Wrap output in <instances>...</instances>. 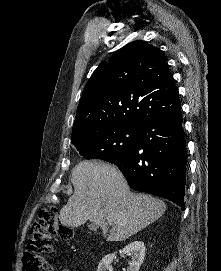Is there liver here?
Returning a JSON list of instances; mask_svg holds the SVG:
<instances>
[{
    "label": "liver",
    "instance_id": "liver-1",
    "mask_svg": "<svg viewBox=\"0 0 221 271\" xmlns=\"http://www.w3.org/2000/svg\"><path fill=\"white\" fill-rule=\"evenodd\" d=\"M71 183L73 195L60 211L62 225L79 227L93 221L106 241H124L166 209L162 199L132 193L123 173L111 163L80 161L72 169Z\"/></svg>",
    "mask_w": 221,
    "mask_h": 271
}]
</instances>
